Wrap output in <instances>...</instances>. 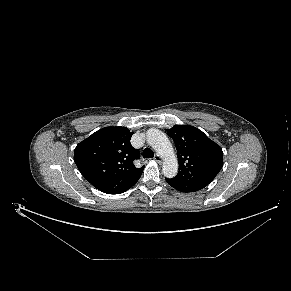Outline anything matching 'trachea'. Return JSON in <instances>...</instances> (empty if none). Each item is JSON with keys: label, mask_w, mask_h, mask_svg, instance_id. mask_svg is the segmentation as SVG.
Listing matches in <instances>:
<instances>
[{"label": "trachea", "mask_w": 291, "mask_h": 291, "mask_svg": "<svg viewBox=\"0 0 291 291\" xmlns=\"http://www.w3.org/2000/svg\"><path fill=\"white\" fill-rule=\"evenodd\" d=\"M154 152L150 148H145L143 150V158H153Z\"/></svg>", "instance_id": "obj_1"}]
</instances>
